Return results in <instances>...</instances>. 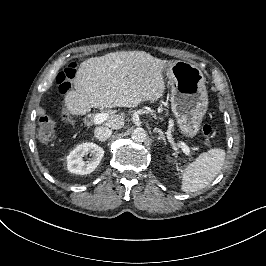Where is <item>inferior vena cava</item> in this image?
Wrapping results in <instances>:
<instances>
[{
    "instance_id": "602c4592",
    "label": "inferior vena cava",
    "mask_w": 266,
    "mask_h": 266,
    "mask_svg": "<svg viewBox=\"0 0 266 266\" xmlns=\"http://www.w3.org/2000/svg\"><path fill=\"white\" fill-rule=\"evenodd\" d=\"M111 134H112V130L109 129L108 127H104V126L96 127L94 130V136L99 141L107 140L111 136Z\"/></svg>"
}]
</instances>
